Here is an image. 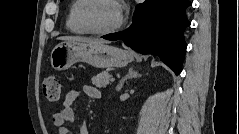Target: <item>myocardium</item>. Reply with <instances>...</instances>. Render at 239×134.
Here are the masks:
<instances>
[{"mask_svg":"<svg viewBox=\"0 0 239 134\" xmlns=\"http://www.w3.org/2000/svg\"><path fill=\"white\" fill-rule=\"evenodd\" d=\"M97 1H100V0H85L80 8L79 21H80L81 25L84 27V29L88 33L93 34V35H107V34H111V33L116 32L117 30H119L124 22L123 15H122L121 11H120V17H119V20L117 21V23L107 29H98V28H95L91 24L90 19H89V11ZM109 1H112L119 8V5L116 1H114V0H109ZM119 10H120V8H119Z\"/></svg>","mask_w":239,"mask_h":134,"instance_id":"myocardium-1","label":"myocardium"}]
</instances>
